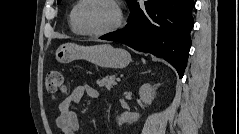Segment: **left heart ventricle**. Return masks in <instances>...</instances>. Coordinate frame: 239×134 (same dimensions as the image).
<instances>
[{
    "instance_id": "b2bd125f",
    "label": "left heart ventricle",
    "mask_w": 239,
    "mask_h": 134,
    "mask_svg": "<svg viewBox=\"0 0 239 134\" xmlns=\"http://www.w3.org/2000/svg\"><path fill=\"white\" fill-rule=\"evenodd\" d=\"M116 20L113 6L104 0H92L85 4L81 21L87 30L100 31L110 27Z\"/></svg>"
}]
</instances>
